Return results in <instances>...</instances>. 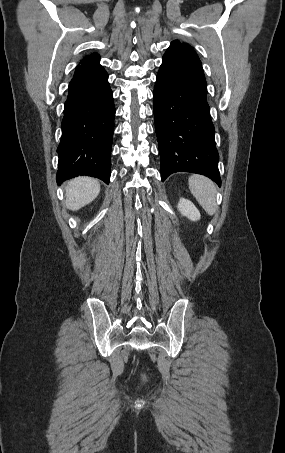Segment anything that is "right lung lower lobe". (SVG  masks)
Masks as SVG:
<instances>
[{
  "label": "right lung lower lobe",
  "instance_id": "obj_1",
  "mask_svg": "<svg viewBox=\"0 0 285 453\" xmlns=\"http://www.w3.org/2000/svg\"><path fill=\"white\" fill-rule=\"evenodd\" d=\"M115 107L108 74L98 63L80 64L69 83L57 183L88 175L109 183Z\"/></svg>",
  "mask_w": 285,
  "mask_h": 453
}]
</instances>
